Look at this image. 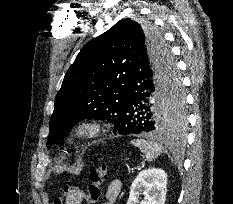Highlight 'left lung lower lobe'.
<instances>
[{"mask_svg": "<svg viewBox=\"0 0 233 204\" xmlns=\"http://www.w3.org/2000/svg\"><path fill=\"white\" fill-rule=\"evenodd\" d=\"M161 59L162 54L153 57L149 49L139 50L132 65L128 92L120 106L118 134L161 131L158 120L160 104L166 100L168 90H173L180 80L176 65L170 73L171 79L163 74ZM183 126L181 124L167 132L174 130L181 136Z\"/></svg>", "mask_w": 233, "mask_h": 204, "instance_id": "obj_1", "label": "left lung lower lobe"}]
</instances>
